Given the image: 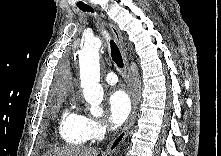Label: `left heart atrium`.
I'll return each mask as SVG.
<instances>
[{"instance_id":"left-heart-atrium-1","label":"left heart atrium","mask_w":221,"mask_h":156,"mask_svg":"<svg viewBox=\"0 0 221 156\" xmlns=\"http://www.w3.org/2000/svg\"><path fill=\"white\" fill-rule=\"evenodd\" d=\"M110 120L114 126L122 125L130 115L131 100L123 90L114 91L108 100Z\"/></svg>"}]
</instances>
